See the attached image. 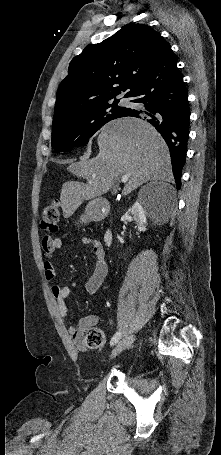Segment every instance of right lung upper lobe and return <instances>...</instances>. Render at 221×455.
I'll return each mask as SVG.
<instances>
[{
    "label": "right lung upper lobe",
    "mask_w": 221,
    "mask_h": 455,
    "mask_svg": "<svg viewBox=\"0 0 221 455\" xmlns=\"http://www.w3.org/2000/svg\"><path fill=\"white\" fill-rule=\"evenodd\" d=\"M171 47L145 24H131L101 43L87 46L61 82L53 123L78 114L137 85Z\"/></svg>",
    "instance_id": "cb5924a9"
}]
</instances>
